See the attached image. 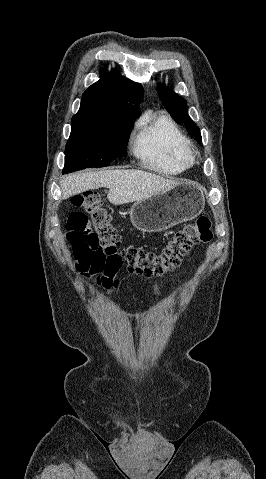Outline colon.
<instances>
[{"label":"colon","instance_id":"obj_1","mask_svg":"<svg viewBox=\"0 0 266 479\" xmlns=\"http://www.w3.org/2000/svg\"><path fill=\"white\" fill-rule=\"evenodd\" d=\"M72 205L77 210L66 217L65 228L75 270L85 278H94V283L106 291L118 286V274L123 268L129 274L160 277L178 267L192 247L213 238L210 219L201 216L174 232L160 252L127 247L122 245L97 192L74 196Z\"/></svg>","mask_w":266,"mask_h":479}]
</instances>
